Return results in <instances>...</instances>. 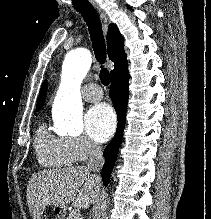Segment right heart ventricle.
Instances as JSON below:
<instances>
[{
  "label": "right heart ventricle",
  "instance_id": "e07e8e85",
  "mask_svg": "<svg viewBox=\"0 0 211 219\" xmlns=\"http://www.w3.org/2000/svg\"><path fill=\"white\" fill-rule=\"evenodd\" d=\"M34 146L37 160L42 166L66 167L74 162L64 138L48 131L44 122L39 124L35 132Z\"/></svg>",
  "mask_w": 211,
  "mask_h": 219
}]
</instances>
